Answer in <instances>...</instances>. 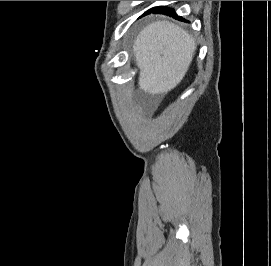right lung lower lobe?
Listing matches in <instances>:
<instances>
[{"instance_id": "obj_1", "label": "right lung lower lobe", "mask_w": 271, "mask_h": 266, "mask_svg": "<svg viewBox=\"0 0 271 266\" xmlns=\"http://www.w3.org/2000/svg\"><path fill=\"white\" fill-rule=\"evenodd\" d=\"M158 13V14H168L170 16H173L179 20H183L182 18L178 17L174 12L173 9H170L168 7H164V6H159V7H155L151 10H149L146 14L148 13Z\"/></svg>"}]
</instances>
